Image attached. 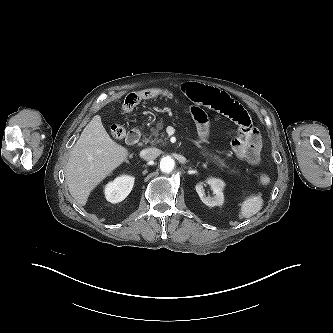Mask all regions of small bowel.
Returning a JSON list of instances; mask_svg holds the SVG:
<instances>
[{"instance_id": "obj_1", "label": "small bowel", "mask_w": 333, "mask_h": 333, "mask_svg": "<svg viewBox=\"0 0 333 333\" xmlns=\"http://www.w3.org/2000/svg\"><path fill=\"white\" fill-rule=\"evenodd\" d=\"M180 89L194 103L191 113L200 141H204L210 131L207 114L202 109V107H206L222 113L239 126V134L230 143L234 154L249 164L259 163L262 148L261 137L247 111L238 102L219 89L198 83H185L181 85Z\"/></svg>"}]
</instances>
